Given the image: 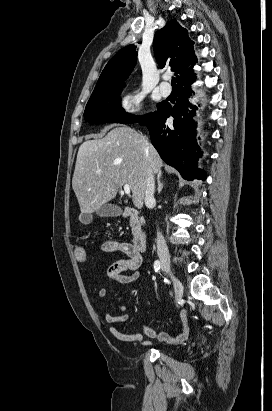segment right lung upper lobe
<instances>
[{
    "label": "right lung upper lobe",
    "mask_w": 272,
    "mask_h": 411,
    "mask_svg": "<svg viewBox=\"0 0 272 411\" xmlns=\"http://www.w3.org/2000/svg\"><path fill=\"white\" fill-rule=\"evenodd\" d=\"M193 42L188 37V31L177 21L171 20L155 34L154 52L161 68L166 64L177 73V86L195 80L193 66L196 57ZM137 60L136 46L131 44L120 50L105 66L95 89L124 83L132 72Z\"/></svg>",
    "instance_id": "1"
}]
</instances>
